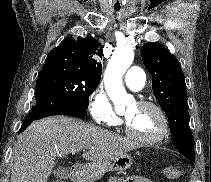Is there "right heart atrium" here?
<instances>
[{
    "label": "right heart atrium",
    "mask_w": 211,
    "mask_h": 182,
    "mask_svg": "<svg viewBox=\"0 0 211 182\" xmlns=\"http://www.w3.org/2000/svg\"><path fill=\"white\" fill-rule=\"evenodd\" d=\"M88 110L92 119L100 125L116 126L120 123V118L113 109V106L101 89H95L89 96Z\"/></svg>",
    "instance_id": "d8ad5b80"
}]
</instances>
